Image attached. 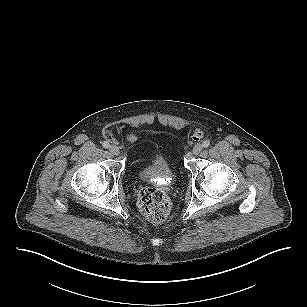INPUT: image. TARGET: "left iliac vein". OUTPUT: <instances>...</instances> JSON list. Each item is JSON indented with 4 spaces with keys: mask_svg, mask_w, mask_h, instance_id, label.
<instances>
[{
    "mask_svg": "<svg viewBox=\"0 0 307 307\" xmlns=\"http://www.w3.org/2000/svg\"><path fill=\"white\" fill-rule=\"evenodd\" d=\"M202 149H203V146L201 145V144H196L194 147H193V149H192V153L194 154V155H198L201 151H202Z\"/></svg>",
    "mask_w": 307,
    "mask_h": 307,
    "instance_id": "obj_1",
    "label": "left iliac vein"
}]
</instances>
